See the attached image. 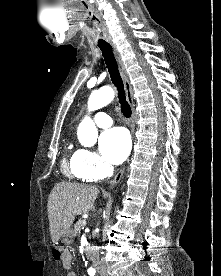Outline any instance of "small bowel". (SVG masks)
<instances>
[{"mask_svg":"<svg viewBox=\"0 0 221 276\" xmlns=\"http://www.w3.org/2000/svg\"><path fill=\"white\" fill-rule=\"evenodd\" d=\"M62 264L67 270V276H77L76 273L71 269L72 267V255L69 251H65L62 257Z\"/></svg>","mask_w":221,"mask_h":276,"instance_id":"1","label":"small bowel"}]
</instances>
